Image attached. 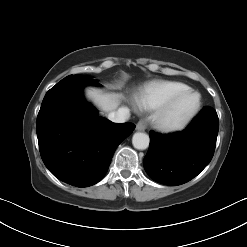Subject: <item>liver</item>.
<instances>
[{"label":"liver","mask_w":247,"mask_h":247,"mask_svg":"<svg viewBox=\"0 0 247 247\" xmlns=\"http://www.w3.org/2000/svg\"><path fill=\"white\" fill-rule=\"evenodd\" d=\"M86 96L104 112L114 111L122 98V95L120 94H104L94 88H88L86 90Z\"/></svg>","instance_id":"liver-1"}]
</instances>
